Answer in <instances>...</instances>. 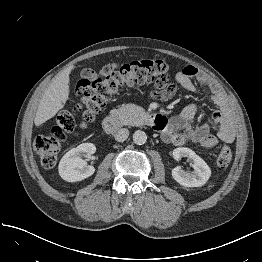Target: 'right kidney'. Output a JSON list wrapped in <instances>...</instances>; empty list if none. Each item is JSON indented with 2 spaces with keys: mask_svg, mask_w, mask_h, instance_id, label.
Masks as SVG:
<instances>
[{
  "mask_svg": "<svg viewBox=\"0 0 262 262\" xmlns=\"http://www.w3.org/2000/svg\"><path fill=\"white\" fill-rule=\"evenodd\" d=\"M95 151L96 146L93 143H83L68 151L62 157L58 166L61 178L68 182H76L93 175L95 168L88 166L82 156L94 154Z\"/></svg>",
  "mask_w": 262,
  "mask_h": 262,
  "instance_id": "1",
  "label": "right kidney"
}]
</instances>
